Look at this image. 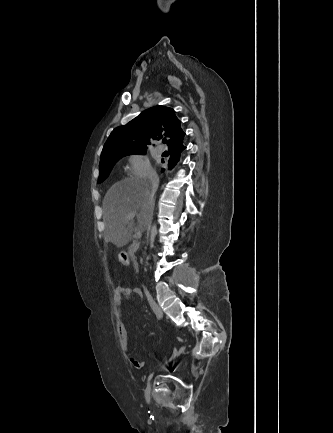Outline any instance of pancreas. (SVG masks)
I'll return each instance as SVG.
<instances>
[{"instance_id": "obj_1", "label": "pancreas", "mask_w": 333, "mask_h": 433, "mask_svg": "<svg viewBox=\"0 0 333 433\" xmlns=\"http://www.w3.org/2000/svg\"><path fill=\"white\" fill-rule=\"evenodd\" d=\"M129 254L132 257V260L135 261V258L133 257V246L130 247Z\"/></svg>"}]
</instances>
